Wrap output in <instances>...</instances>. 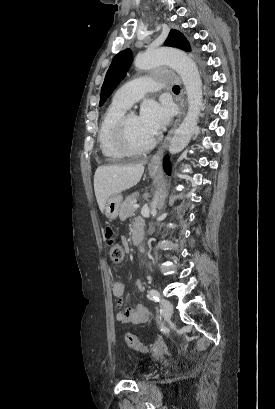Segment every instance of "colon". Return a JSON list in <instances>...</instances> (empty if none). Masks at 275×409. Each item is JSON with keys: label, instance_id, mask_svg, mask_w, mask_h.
<instances>
[{"label": "colon", "instance_id": "obj_1", "mask_svg": "<svg viewBox=\"0 0 275 409\" xmlns=\"http://www.w3.org/2000/svg\"><path fill=\"white\" fill-rule=\"evenodd\" d=\"M105 239L110 249L111 262L113 265L118 266L119 264L122 263L124 259V248L120 242L121 240L120 234L118 233V231H115L110 227H106ZM125 340L128 347L132 350L142 351L143 348L148 349L150 347L148 344L142 345V343L132 333H126ZM143 354L145 356L147 355L150 356L152 353L150 351L149 352L145 351Z\"/></svg>", "mask_w": 275, "mask_h": 409}]
</instances>
